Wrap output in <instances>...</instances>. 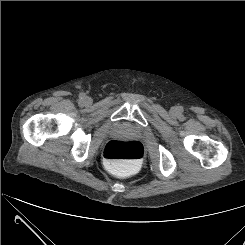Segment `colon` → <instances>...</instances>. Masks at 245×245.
<instances>
[{"mask_svg":"<svg viewBox=\"0 0 245 245\" xmlns=\"http://www.w3.org/2000/svg\"><path fill=\"white\" fill-rule=\"evenodd\" d=\"M143 156V146L137 140H111L103 150L105 163L119 170H136Z\"/></svg>","mask_w":245,"mask_h":245,"instance_id":"colon-1","label":"colon"}]
</instances>
